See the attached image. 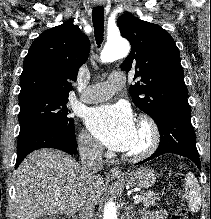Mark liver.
Segmentation results:
<instances>
[{"mask_svg": "<svg viewBox=\"0 0 211 219\" xmlns=\"http://www.w3.org/2000/svg\"><path fill=\"white\" fill-rule=\"evenodd\" d=\"M104 181H89L71 156L54 149L30 153L15 172L11 219H38L49 214L72 215L80 203L101 202Z\"/></svg>", "mask_w": 211, "mask_h": 219, "instance_id": "1", "label": "liver"}]
</instances>
